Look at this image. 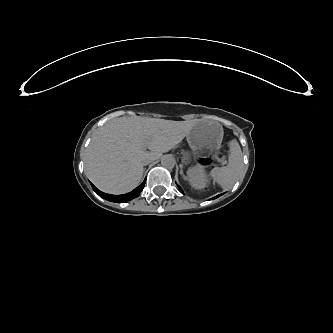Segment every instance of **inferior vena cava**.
<instances>
[{"instance_id": "1", "label": "inferior vena cava", "mask_w": 333, "mask_h": 333, "mask_svg": "<svg viewBox=\"0 0 333 333\" xmlns=\"http://www.w3.org/2000/svg\"><path fill=\"white\" fill-rule=\"evenodd\" d=\"M153 160H154V158H146V159L143 160V165L146 166L149 163H151Z\"/></svg>"}]
</instances>
